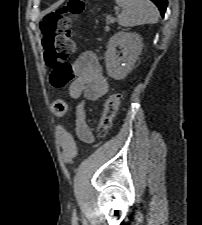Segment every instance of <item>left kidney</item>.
<instances>
[{
    "label": "left kidney",
    "mask_w": 202,
    "mask_h": 225,
    "mask_svg": "<svg viewBox=\"0 0 202 225\" xmlns=\"http://www.w3.org/2000/svg\"><path fill=\"white\" fill-rule=\"evenodd\" d=\"M117 47L122 48V57L116 55ZM142 48V38L136 33L120 31L113 35L105 53L108 75L116 80L123 79L133 69Z\"/></svg>",
    "instance_id": "1"
}]
</instances>
